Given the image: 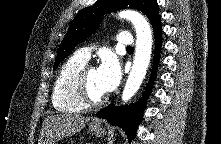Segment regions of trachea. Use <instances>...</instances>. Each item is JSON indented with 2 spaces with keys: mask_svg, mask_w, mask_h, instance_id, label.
Returning <instances> with one entry per match:
<instances>
[{
  "mask_svg": "<svg viewBox=\"0 0 221 144\" xmlns=\"http://www.w3.org/2000/svg\"><path fill=\"white\" fill-rule=\"evenodd\" d=\"M127 49H128V50H133V47L128 46Z\"/></svg>",
  "mask_w": 221,
  "mask_h": 144,
  "instance_id": "1",
  "label": "trachea"
}]
</instances>
